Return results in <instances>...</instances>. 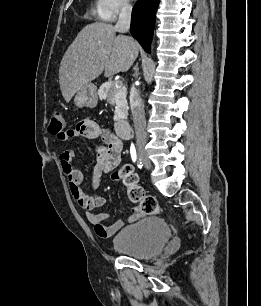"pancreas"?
Here are the masks:
<instances>
[{
  "instance_id": "1",
  "label": "pancreas",
  "mask_w": 261,
  "mask_h": 306,
  "mask_svg": "<svg viewBox=\"0 0 261 306\" xmlns=\"http://www.w3.org/2000/svg\"><path fill=\"white\" fill-rule=\"evenodd\" d=\"M126 88L115 87L114 82H105L98 89V95L102 99H107L108 102L112 101L115 105L114 120L119 121L125 119L128 114V104L126 100Z\"/></svg>"
}]
</instances>
